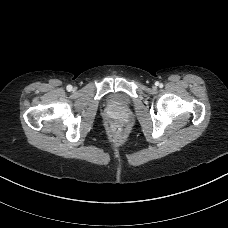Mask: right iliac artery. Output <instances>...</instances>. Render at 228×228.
<instances>
[{
    "mask_svg": "<svg viewBox=\"0 0 228 228\" xmlns=\"http://www.w3.org/2000/svg\"><path fill=\"white\" fill-rule=\"evenodd\" d=\"M67 90H68V91H71V90H72V86H71V85H68V86H67Z\"/></svg>",
    "mask_w": 228,
    "mask_h": 228,
    "instance_id": "right-iliac-artery-1",
    "label": "right iliac artery"
}]
</instances>
